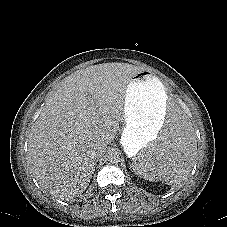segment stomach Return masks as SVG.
I'll list each match as a JSON object with an SVG mask.
<instances>
[{"label": "stomach", "instance_id": "stomach-1", "mask_svg": "<svg viewBox=\"0 0 227 227\" xmlns=\"http://www.w3.org/2000/svg\"><path fill=\"white\" fill-rule=\"evenodd\" d=\"M167 101L166 89L155 75L142 70L132 76L125 98L121 137L129 157L163 140Z\"/></svg>", "mask_w": 227, "mask_h": 227}]
</instances>
